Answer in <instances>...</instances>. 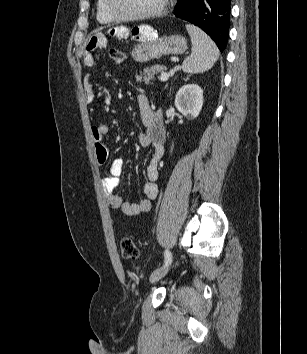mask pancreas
Masks as SVG:
<instances>
[{"label":"pancreas","mask_w":307,"mask_h":354,"mask_svg":"<svg viewBox=\"0 0 307 354\" xmlns=\"http://www.w3.org/2000/svg\"><path fill=\"white\" fill-rule=\"evenodd\" d=\"M165 70V67L159 64L145 68L143 71H140L136 76L137 81H143L146 84H152L156 79L158 73H162Z\"/></svg>","instance_id":"pancreas-1"}]
</instances>
